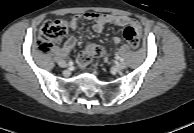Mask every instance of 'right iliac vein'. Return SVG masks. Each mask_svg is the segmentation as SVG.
I'll return each instance as SVG.
<instances>
[{"label":"right iliac vein","instance_id":"right-iliac-vein-1","mask_svg":"<svg viewBox=\"0 0 194 133\" xmlns=\"http://www.w3.org/2000/svg\"><path fill=\"white\" fill-rule=\"evenodd\" d=\"M58 64H59V66L62 67V68H65V67L68 66L67 63H66L65 61H63V60L59 61Z\"/></svg>","mask_w":194,"mask_h":133}]
</instances>
